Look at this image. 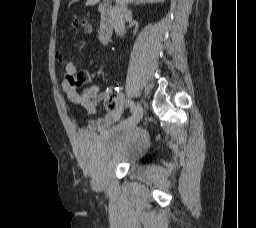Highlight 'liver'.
I'll list each match as a JSON object with an SVG mask.
<instances>
[{
  "label": "liver",
  "mask_w": 256,
  "mask_h": 228,
  "mask_svg": "<svg viewBox=\"0 0 256 228\" xmlns=\"http://www.w3.org/2000/svg\"><path fill=\"white\" fill-rule=\"evenodd\" d=\"M100 0H87L86 5H94L97 4ZM122 0H116L117 4H121ZM164 0H129V2H137V3H156L163 2Z\"/></svg>",
  "instance_id": "liver-1"
}]
</instances>
